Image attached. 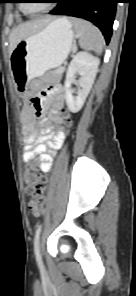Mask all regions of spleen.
I'll list each match as a JSON object with an SVG mask.
<instances>
[{
  "label": "spleen",
  "instance_id": "spleen-1",
  "mask_svg": "<svg viewBox=\"0 0 136 296\" xmlns=\"http://www.w3.org/2000/svg\"><path fill=\"white\" fill-rule=\"evenodd\" d=\"M71 23L79 38V46L82 49L101 54L104 47V38L99 29L82 19H72Z\"/></svg>",
  "mask_w": 136,
  "mask_h": 296
}]
</instances>
